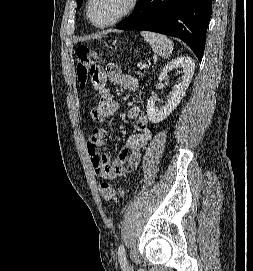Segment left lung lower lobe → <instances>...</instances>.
Wrapping results in <instances>:
<instances>
[{"mask_svg":"<svg viewBox=\"0 0 253 271\" xmlns=\"http://www.w3.org/2000/svg\"><path fill=\"white\" fill-rule=\"evenodd\" d=\"M212 0H138L117 29L147 30L183 40L201 61Z\"/></svg>","mask_w":253,"mask_h":271,"instance_id":"obj_1","label":"left lung lower lobe"}]
</instances>
